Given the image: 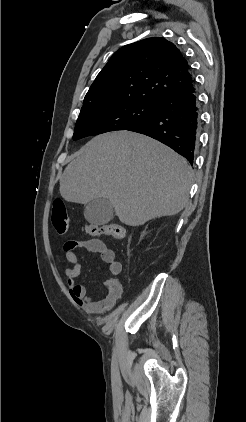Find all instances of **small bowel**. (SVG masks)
Returning <instances> with one entry per match:
<instances>
[{
    "mask_svg": "<svg viewBox=\"0 0 246 422\" xmlns=\"http://www.w3.org/2000/svg\"><path fill=\"white\" fill-rule=\"evenodd\" d=\"M82 247L89 252L96 253L101 260L108 264L109 272L118 276L122 271V264L116 259L115 253L103 241L89 239L83 241L70 240L64 244L63 250L70 267L64 269V275L69 286V293L72 299L81 306H84L92 313H103L110 310L116 301L122 296L123 286L116 277L106 281V293L102 298H92L88 295L85 286L76 282L81 273V265L75 253V249Z\"/></svg>",
    "mask_w": 246,
    "mask_h": 422,
    "instance_id": "c3829d8e",
    "label": "small bowel"
}]
</instances>
